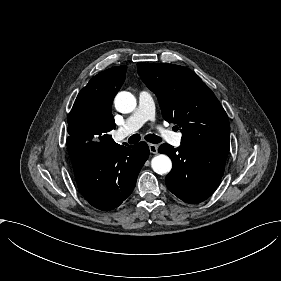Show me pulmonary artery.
I'll use <instances>...</instances> for the list:
<instances>
[{
  "instance_id": "pulmonary-artery-1",
  "label": "pulmonary artery",
  "mask_w": 281,
  "mask_h": 281,
  "mask_svg": "<svg viewBox=\"0 0 281 281\" xmlns=\"http://www.w3.org/2000/svg\"><path fill=\"white\" fill-rule=\"evenodd\" d=\"M151 96L148 92L142 91L139 94V104L133 113L126 119L114 134L117 143H121L126 137L138 130L146 121L153 119L154 109L149 105ZM172 145L178 147L181 145L182 134L165 131Z\"/></svg>"
}]
</instances>
